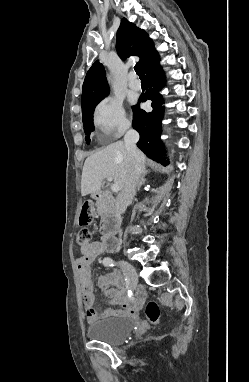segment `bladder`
<instances>
[{"label":"bladder","mask_w":249,"mask_h":382,"mask_svg":"<svg viewBox=\"0 0 249 382\" xmlns=\"http://www.w3.org/2000/svg\"><path fill=\"white\" fill-rule=\"evenodd\" d=\"M134 320L130 317H108L93 322L87 328L91 340L109 345H118L126 341L134 329Z\"/></svg>","instance_id":"31cf9c89"}]
</instances>
